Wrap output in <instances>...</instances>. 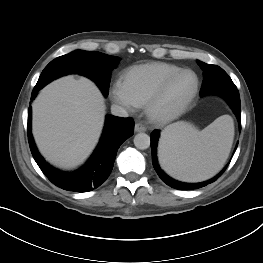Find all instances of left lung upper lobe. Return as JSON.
<instances>
[{"instance_id":"1","label":"left lung upper lobe","mask_w":263,"mask_h":263,"mask_svg":"<svg viewBox=\"0 0 263 263\" xmlns=\"http://www.w3.org/2000/svg\"><path fill=\"white\" fill-rule=\"evenodd\" d=\"M198 64H202L203 62L201 61H197ZM214 86H228V87H231V86H235L233 81L231 80V78L228 76V74L222 69L220 68V70L218 71V78L215 79L214 81ZM202 89H203V86H202ZM201 89V91H202Z\"/></svg>"}]
</instances>
